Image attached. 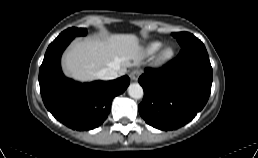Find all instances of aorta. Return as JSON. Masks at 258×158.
<instances>
[{
	"mask_svg": "<svg viewBox=\"0 0 258 158\" xmlns=\"http://www.w3.org/2000/svg\"><path fill=\"white\" fill-rule=\"evenodd\" d=\"M128 94L134 99H141L144 94L143 88L137 83H132L128 87Z\"/></svg>",
	"mask_w": 258,
	"mask_h": 158,
	"instance_id": "obj_1",
	"label": "aorta"
}]
</instances>
